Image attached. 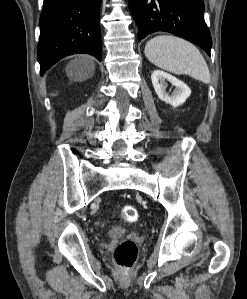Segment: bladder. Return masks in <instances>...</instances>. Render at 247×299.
Instances as JSON below:
<instances>
[{
	"label": "bladder",
	"instance_id": "1",
	"mask_svg": "<svg viewBox=\"0 0 247 299\" xmlns=\"http://www.w3.org/2000/svg\"><path fill=\"white\" fill-rule=\"evenodd\" d=\"M122 233H124V229L119 228V227H114V228L110 229V231H109L110 236H117Z\"/></svg>",
	"mask_w": 247,
	"mask_h": 299
}]
</instances>
